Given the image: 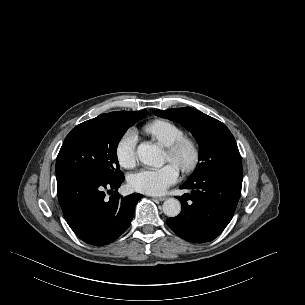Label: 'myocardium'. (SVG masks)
I'll return each mask as SVG.
<instances>
[{"label": "myocardium", "instance_id": "obj_1", "mask_svg": "<svg viewBox=\"0 0 305 305\" xmlns=\"http://www.w3.org/2000/svg\"><path fill=\"white\" fill-rule=\"evenodd\" d=\"M167 153L172 163L183 172L192 171L199 159L197 143L189 138L182 137L167 147Z\"/></svg>", "mask_w": 305, "mask_h": 305}]
</instances>
